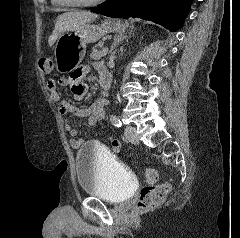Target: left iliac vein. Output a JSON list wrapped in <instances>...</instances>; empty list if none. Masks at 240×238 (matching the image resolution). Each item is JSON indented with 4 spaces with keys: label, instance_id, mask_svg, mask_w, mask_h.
I'll list each match as a JSON object with an SVG mask.
<instances>
[{
    "label": "left iliac vein",
    "instance_id": "left-iliac-vein-1",
    "mask_svg": "<svg viewBox=\"0 0 240 238\" xmlns=\"http://www.w3.org/2000/svg\"><path fill=\"white\" fill-rule=\"evenodd\" d=\"M126 139L132 144H138L139 139L134 126H126L124 129Z\"/></svg>",
    "mask_w": 240,
    "mask_h": 238
}]
</instances>
